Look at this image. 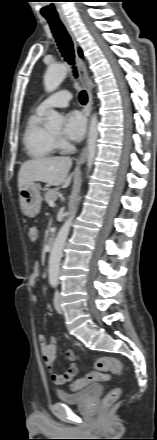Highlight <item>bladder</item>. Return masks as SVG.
<instances>
[{
    "instance_id": "1",
    "label": "bladder",
    "mask_w": 157,
    "mask_h": 440,
    "mask_svg": "<svg viewBox=\"0 0 157 440\" xmlns=\"http://www.w3.org/2000/svg\"><path fill=\"white\" fill-rule=\"evenodd\" d=\"M98 385H90L76 392H66L58 390L56 392L57 398L60 402L65 404H82L86 402L97 391Z\"/></svg>"
}]
</instances>
